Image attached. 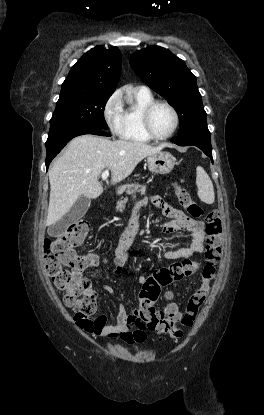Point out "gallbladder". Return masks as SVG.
<instances>
[{
  "instance_id": "gallbladder-1",
  "label": "gallbladder",
  "mask_w": 264,
  "mask_h": 415,
  "mask_svg": "<svg viewBox=\"0 0 264 415\" xmlns=\"http://www.w3.org/2000/svg\"><path fill=\"white\" fill-rule=\"evenodd\" d=\"M90 203V200L84 196L78 198L69 212L52 227V234L63 233L69 224L80 220L86 214Z\"/></svg>"
}]
</instances>
